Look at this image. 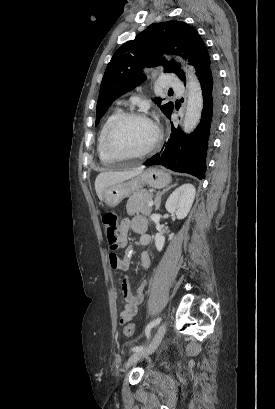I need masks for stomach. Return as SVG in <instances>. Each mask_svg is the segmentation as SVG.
Here are the masks:
<instances>
[{"mask_svg": "<svg viewBox=\"0 0 275 409\" xmlns=\"http://www.w3.org/2000/svg\"><path fill=\"white\" fill-rule=\"evenodd\" d=\"M170 182L171 178L168 172H165L162 168H146L142 174L133 176L131 180L106 186L103 190V200L108 207H117L122 198L130 196V194L136 192V190H140L143 184H148V186H152V188H164V186H168Z\"/></svg>", "mask_w": 275, "mask_h": 409, "instance_id": "0dacf381", "label": "stomach"}]
</instances>
